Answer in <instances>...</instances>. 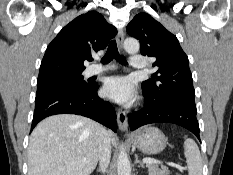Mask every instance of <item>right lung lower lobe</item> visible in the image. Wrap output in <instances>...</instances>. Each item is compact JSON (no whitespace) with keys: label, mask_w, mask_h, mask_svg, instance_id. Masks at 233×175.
Segmentation results:
<instances>
[{"label":"right lung lower lobe","mask_w":233,"mask_h":175,"mask_svg":"<svg viewBox=\"0 0 233 175\" xmlns=\"http://www.w3.org/2000/svg\"><path fill=\"white\" fill-rule=\"evenodd\" d=\"M97 83L84 89L49 90L36 95L31 130L44 118L55 114H77L89 117L117 131L113 106L97 95Z\"/></svg>","instance_id":"right-lung-lower-lobe-1"}]
</instances>
